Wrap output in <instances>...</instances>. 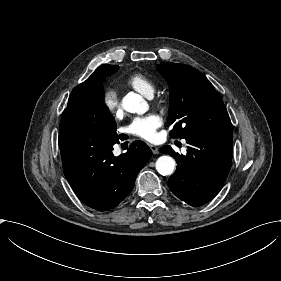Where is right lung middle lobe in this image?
Listing matches in <instances>:
<instances>
[{"label": "right lung middle lobe", "instance_id": "right-lung-middle-lobe-1", "mask_svg": "<svg viewBox=\"0 0 281 281\" xmlns=\"http://www.w3.org/2000/svg\"><path fill=\"white\" fill-rule=\"evenodd\" d=\"M102 96H103V91H102L101 94H100V98H102Z\"/></svg>", "mask_w": 281, "mask_h": 281}]
</instances>
